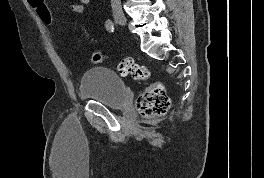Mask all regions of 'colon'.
<instances>
[{
  "mask_svg": "<svg viewBox=\"0 0 264 178\" xmlns=\"http://www.w3.org/2000/svg\"><path fill=\"white\" fill-rule=\"evenodd\" d=\"M30 7L35 11L38 18L45 25H52L54 17L45 3V0H27ZM107 56L101 52H94L90 61L94 64L101 63ZM117 69L122 76L130 77L135 81H147L150 78L149 69L142 64L136 63L131 58H123L119 61ZM170 107V100L165 88L160 82L151 83L137 98L136 108L146 118H154L164 115Z\"/></svg>",
  "mask_w": 264,
  "mask_h": 178,
  "instance_id": "obj_1",
  "label": "colon"
}]
</instances>
